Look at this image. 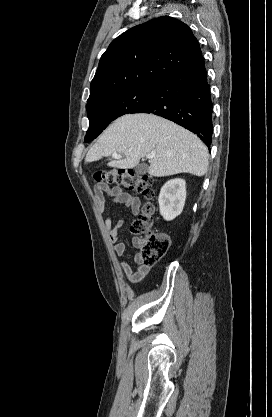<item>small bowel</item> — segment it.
I'll return each mask as SVG.
<instances>
[{"mask_svg":"<svg viewBox=\"0 0 272 417\" xmlns=\"http://www.w3.org/2000/svg\"><path fill=\"white\" fill-rule=\"evenodd\" d=\"M96 207L99 213H103L106 208L107 197L112 198L116 203L122 204L131 210L132 214L137 215L141 209V200L139 197L133 196L128 192L123 191L120 187H111L107 183L99 182L93 189ZM123 226L122 220L112 222L110 218L105 219V228L110 241L113 244V250L116 255L123 256L126 253L125 243L119 241V232ZM132 244L135 247H140V240L137 237L132 239ZM135 265L129 262H121L120 267L126 279L131 284L141 282L148 274L150 267L142 264L140 253L134 257Z\"/></svg>","mask_w":272,"mask_h":417,"instance_id":"small-bowel-1","label":"small bowel"}]
</instances>
